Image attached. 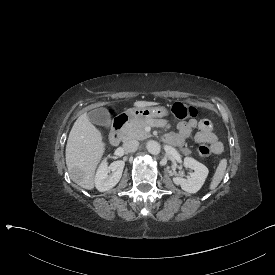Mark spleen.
Listing matches in <instances>:
<instances>
[{
  "instance_id": "obj_1",
  "label": "spleen",
  "mask_w": 275,
  "mask_h": 275,
  "mask_svg": "<svg viewBox=\"0 0 275 275\" xmlns=\"http://www.w3.org/2000/svg\"><path fill=\"white\" fill-rule=\"evenodd\" d=\"M226 167H227V160L222 159L216 169V172H215L212 182L210 184L211 190L215 189L218 186V184L221 182V180L225 174Z\"/></svg>"
}]
</instances>
